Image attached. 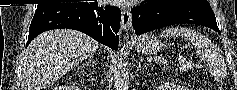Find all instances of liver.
<instances>
[{
	"instance_id": "6515ba94",
	"label": "liver",
	"mask_w": 237,
	"mask_h": 90,
	"mask_svg": "<svg viewBox=\"0 0 237 90\" xmlns=\"http://www.w3.org/2000/svg\"><path fill=\"white\" fill-rule=\"evenodd\" d=\"M98 48L96 40L77 30L43 32L23 56L24 90H44L74 66L92 58Z\"/></svg>"
}]
</instances>
